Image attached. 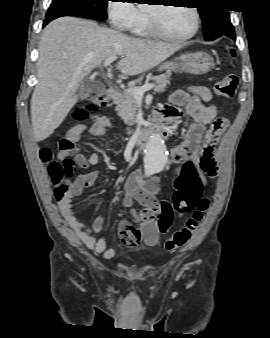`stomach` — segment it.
<instances>
[{
    "mask_svg": "<svg viewBox=\"0 0 270 338\" xmlns=\"http://www.w3.org/2000/svg\"><path fill=\"white\" fill-rule=\"evenodd\" d=\"M214 66L213 58L205 52L185 53L162 64L160 70L169 69L174 72H186L196 75L208 73Z\"/></svg>",
    "mask_w": 270,
    "mask_h": 338,
    "instance_id": "1",
    "label": "stomach"
}]
</instances>
